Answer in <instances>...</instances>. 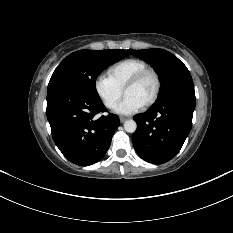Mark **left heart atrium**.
Instances as JSON below:
<instances>
[{
    "label": "left heart atrium",
    "mask_w": 233,
    "mask_h": 233,
    "mask_svg": "<svg viewBox=\"0 0 233 233\" xmlns=\"http://www.w3.org/2000/svg\"><path fill=\"white\" fill-rule=\"evenodd\" d=\"M143 107V104L132 96H125L119 103L115 111L119 114L130 115L138 112Z\"/></svg>",
    "instance_id": "obj_1"
}]
</instances>
